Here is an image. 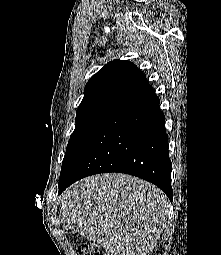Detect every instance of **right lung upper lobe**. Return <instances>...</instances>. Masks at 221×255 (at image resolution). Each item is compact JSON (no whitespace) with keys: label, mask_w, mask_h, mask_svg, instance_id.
<instances>
[{"label":"right lung upper lobe","mask_w":221,"mask_h":255,"mask_svg":"<svg viewBox=\"0 0 221 255\" xmlns=\"http://www.w3.org/2000/svg\"><path fill=\"white\" fill-rule=\"evenodd\" d=\"M149 87L146 76L133 63L114 60L90 78L77 113L119 107Z\"/></svg>","instance_id":"1"}]
</instances>
